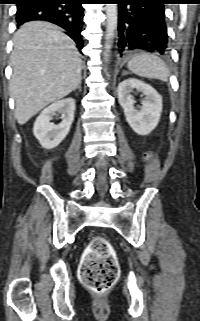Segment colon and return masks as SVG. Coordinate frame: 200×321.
Listing matches in <instances>:
<instances>
[{
	"label": "colon",
	"mask_w": 200,
	"mask_h": 321,
	"mask_svg": "<svg viewBox=\"0 0 200 321\" xmlns=\"http://www.w3.org/2000/svg\"><path fill=\"white\" fill-rule=\"evenodd\" d=\"M118 275L119 266L111 244L104 237L93 238L80 266L83 284L92 291L104 292L114 284Z\"/></svg>",
	"instance_id": "obj_1"
}]
</instances>
